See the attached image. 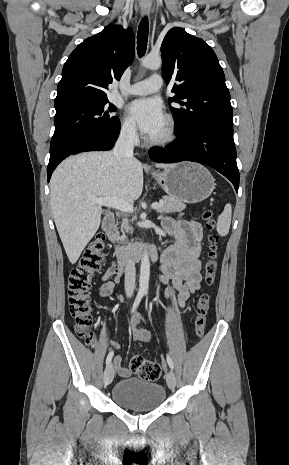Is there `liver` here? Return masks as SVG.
Masks as SVG:
<instances>
[{"mask_svg": "<svg viewBox=\"0 0 289 465\" xmlns=\"http://www.w3.org/2000/svg\"><path fill=\"white\" fill-rule=\"evenodd\" d=\"M157 168L171 164L157 163ZM143 190V167L135 158L117 160L111 151H93L65 159L50 181L51 211L69 261L75 264L101 223L97 197L129 204Z\"/></svg>", "mask_w": 289, "mask_h": 465, "instance_id": "1", "label": "liver"}]
</instances>
